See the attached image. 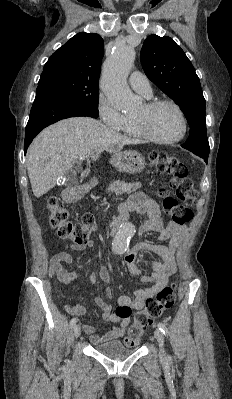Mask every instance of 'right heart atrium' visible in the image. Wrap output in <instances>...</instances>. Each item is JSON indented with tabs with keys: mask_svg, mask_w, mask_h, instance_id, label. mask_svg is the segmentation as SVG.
<instances>
[{
	"mask_svg": "<svg viewBox=\"0 0 232 399\" xmlns=\"http://www.w3.org/2000/svg\"><path fill=\"white\" fill-rule=\"evenodd\" d=\"M97 113L102 125H112V130H118L126 121V117L107 104L98 105Z\"/></svg>",
	"mask_w": 232,
	"mask_h": 399,
	"instance_id": "d8ad5b80",
	"label": "right heart atrium"
}]
</instances>
